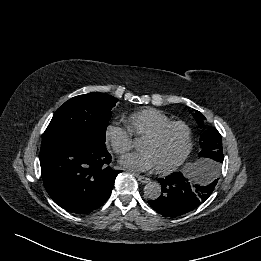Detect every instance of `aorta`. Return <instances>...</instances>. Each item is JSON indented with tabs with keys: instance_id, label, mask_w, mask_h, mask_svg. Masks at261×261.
Listing matches in <instances>:
<instances>
[{
	"instance_id": "obj_1",
	"label": "aorta",
	"mask_w": 261,
	"mask_h": 261,
	"mask_svg": "<svg viewBox=\"0 0 261 261\" xmlns=\"http://www.w3.org/2000/svg\"><path fill=\"white\" fill-rule=\"evenodd\" d=\"M144 193L150 200H156L161 194V185L158 182H148L144 187Z\"/></svg>"
}]
</instances>
